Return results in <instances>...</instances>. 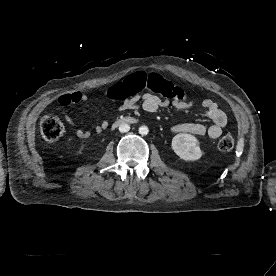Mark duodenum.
I'll list each match as a JSON object with an SVG mask.
<instances>
[{
    "mask_svg": "<svg viewBox=\"0 0 276 276\" xmlns=\"http://www.w3.org/2000/svg\"><path fill=\"white\" fill-rule=\"evenodd\" d=\"M135 119L131 116H126V117H122L119 118L117 120H115L112 124L113 127H117L119 124H123V123H134Z\"/></svg>",
    "mask_w": 276,
    "mask_h": 276,
    "instance_id": "410a0bca",
    "label": "duodenum"
}]
</instances>
